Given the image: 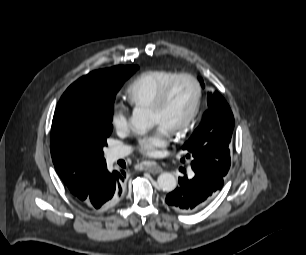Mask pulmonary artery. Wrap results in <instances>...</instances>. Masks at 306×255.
Returning <instances> with one entry per match:
<instances>
[{"label":"pulmonary artery","instance_id":"obj_1","mask_svg":"<svg viewBox=\"0 0 306 255\" xmlns=\"http://www.w3.org/2000/svg\"><path fill=\"white\" fill-rule=\"evenodd\" d=\"M130 150L127 147L112 148L108 151V159L113 162L128 155Z\"/></svg>","mask_w":306,"mask_h":255}]
</instances>
